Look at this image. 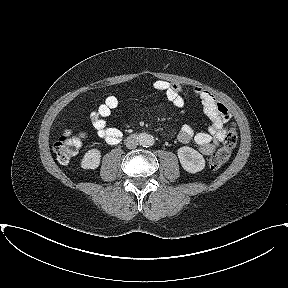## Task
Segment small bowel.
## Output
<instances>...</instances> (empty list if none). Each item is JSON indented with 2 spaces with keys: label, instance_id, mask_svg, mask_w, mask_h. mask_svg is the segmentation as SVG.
I'll use <instances>...</instances> for the list:
<instances>
[{
  "label": "small bowel",
  "instance_id": "obj_1",
  "mask_svg": "<svg viewBox=\"0 0 288 288\" xmlns=\"http://www.w3.org/2000/svg\"><path fill=\"white\" fill-rule=\"evenodd\" d=\"M153 87L155 90L162 92L175 107L181 108L185 105L183 90L180 84L165 80H156ZM193 92L200 99L205 114L211 120V125L207 132H196L190 125H184L180 129L177 138L182 144L194 142L198 146L199 151L203 155L208 156L223 141L230 115L227 107L218 102L207 90L195 87ZM118 107V98L110 95L91 114V124L96 135L109 145L117 144L122 137V132L119 129L107 126L106 122V118Z\"/></svg>",
  "mask_w": 288,
  "mask_h": 288
}]
</instances>
